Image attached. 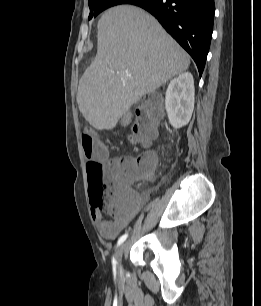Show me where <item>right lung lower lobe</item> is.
Masks as SVG:
<instances>
[{"label": "right lung lower lobe", "mask_w": 261, "mask_h": 306, "mask_svg": "<svg viewBox=\"0 0 261 306\" xmlns=\"http://www.w3.org/2000/svg\"><path fill=\"white\" fill-rule=\"evenodd\" d=\"M130 4L144 8L158 19L191 55L201 76L211 42L214 0H135Z\"/></svg>", "instance_id": "right-lung-lower-lobe-1"}]
</instances>
